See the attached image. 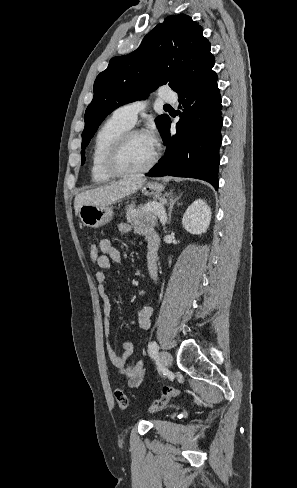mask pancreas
Masks as SVG:
<instances>
[{"label":"pancreas","instance_id":"1","mask_svg":"<svg viewBox=\"0 0 297 488\" xmlns=\"http://www.w3.org/2000/svg\"><path fill=\"white\" fill-rule=\"evenodd\" d=\"M157 202H149L145 205L135 208L131 205L126 209L127 222L132 225L147 223L150 225H157V211L152 209V206ZM150 207L148 209L147 207Z\"/></svg>","mask_w":297,"mask_h":488}]
</instances>
